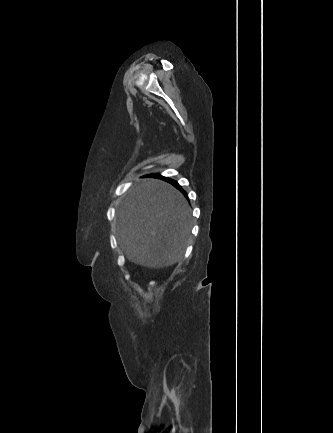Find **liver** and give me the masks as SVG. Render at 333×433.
Returning a JSON list of instances; mask_svg holds the SVG:
<instances>
[{
  "label": "liver",
  "mask_w": 333,
  "mask_h": 433,
  "mask_svg": "<svg viewBox=\"0 0 333 433\" xmlns=\"http://www.w3.org/2000/svg\"><path fill=\"white\" fill-rule=\"evenodd\" d=\"M190 230L186 199L161 180L136 183L117 211V238L126 257L148 268H162L180 261Z\"/></svg>",
  "instance_id": "liver-1"
}]
</instances>
